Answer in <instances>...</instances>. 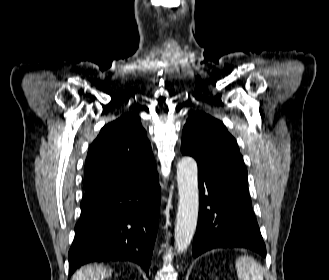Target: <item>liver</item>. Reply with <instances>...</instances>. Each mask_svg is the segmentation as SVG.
Returning <instances> with one entry per match:
<instances>
[{
  "mask_svg": "<svg viewBox=\"0 0 329 280\" xmlns=\"http://www.w3.org/2000/svg\"><path fill=\"white\" fill-rule=\"evenodd\" d=\"M111 275V270H107L102 265H88L80 269L72 278V280H104Z\"/></svg>",
  "mask_w": 329,
  "mask_h": 280,
  "instance_id": "6515ba94",
  "label": "liver"
}]
</instances>
